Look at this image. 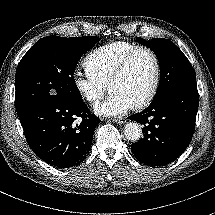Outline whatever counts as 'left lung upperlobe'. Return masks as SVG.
Here are the masks:
<instances>
[{"label":"left lung upper lobe","mask_w":215,"mask_h":215,"mask_svg":"<svg viewBox=\"0 0 215 215\" xmlns=\"http://www.w3.org/2000/svg\"><path fill=\"white\" fill-rule=\"evenodd\" d=\"M136 40L154 51L160 64V82L154 99L180 85L196 81L192 65L173 42L165 38L145 41L138 37Z\"/></svg>","instance_id":"left-lung-upper-lobe-1"}]
</instances>
